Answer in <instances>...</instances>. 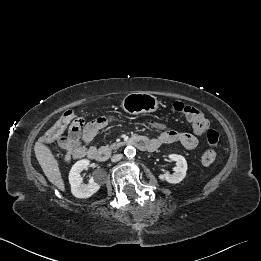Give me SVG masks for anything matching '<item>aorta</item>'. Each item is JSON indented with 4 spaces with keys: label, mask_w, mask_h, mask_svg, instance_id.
Instances as JSON below:
<instances>
[{
    "label": "aorta",
    "mask_w": 261,
    "mask_h": 261,
    "mask_svg": "<svg viewBox=\"0 0 261 261\" xmlns=\"http://www.w3.org/2000/svg\"><path fill=\"white\" fill-rule=\"evenodd\" d=\"M124 154L128 158H133L136 155V149L133 146H127L124 150Z\"/></svg>",
    "instance_id": "obj_1"
}]
</instances>
